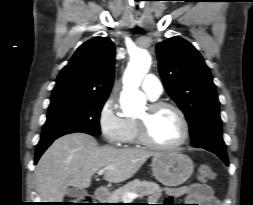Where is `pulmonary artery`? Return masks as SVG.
<instances>
[{
    "label": "pulmonary artery",
    "instance_id": "pulmonary-artery-1",
    "mask_svg": "<svg viewBox=\"0 0 253 205\" xmlns=\"http://www.w3.org/2000/svg\"><path fill=\"white\" fill-rule=\"evenodd\" d=\"M141 88L151 99H157L163 92L161 81L153 74L144 78Z\"/></svg>",
    "mask_w": 253,
    "mask_h": 205
}]
</instances>
